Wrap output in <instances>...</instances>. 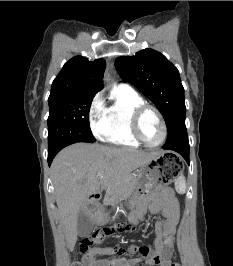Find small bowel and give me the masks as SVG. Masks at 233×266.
<instances>
[{
	"label": "small bowel",
	"instance_id": "c3829d8e",
	"mask_svg": "<svg viewBox=\"0 0 233 266\" xmlns=\"http://www.w3.org/2000/svg\"><path fill=\"white\" fill-rule=\"evenodd\" d=\"M149 198L139 201L138 210L131 220L138 222L147 211ZM151 214H161L163 219L155 223L156 239L154 248L147 245H131L129 251L138 253L137 257L126 259L115 255L111 247L92 246L82 258L80 266H136L144 262L155 266H170L169 257L172 253L174 235L179 220L178 202L171 189H165L159 197L152 200L149 207Z\"/></svg>",
	"mask_w": 233,
	"mask_h": 266
}]
</instances>
